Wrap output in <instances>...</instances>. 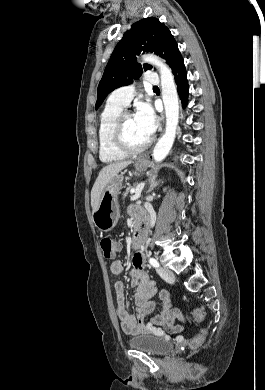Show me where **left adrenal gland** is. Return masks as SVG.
I'll use <instances>...</instances> for the list:
<instances>
[{
	"instance_id": "a2214340",
	"label": "left adrenal gland",
	"mask_w": 265,
	"mask_h": 390,
	"mask_svg": "<svg viewBox=\"0 0 265 390\" xmlns=\"http://www.w3.org/2000/svg\"><path fill=\"white\" fill-rule=\"evenodd\" d=\"M156 178H157V176H152L149 179L150 187H149L147 193L151 192L156 186H158L160 183L164 182V181H161V180H157Z\"/></svg>"
}]
</instances>
